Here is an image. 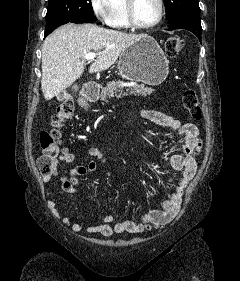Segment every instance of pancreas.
Listing matches in <instances>:
<instances>
[{
	"instance_id": "cf45deb5",
	"label": "pancreas",
	"mask_w": 240,
	"mask_h": 281,
	"mask_svg": "<svg viewBox=\"0 0 240 281\" xmlns=\"http://www.w3.org/2000/svg\"><path fill=\"white\" fill-rule=\"evenodd\" d=\"M124 83L121 81H112L107 83L105 87L102 88L100 94L101 101H107L108 98L117 97L120 98L121 96L131 95L134 94L136 96H147L153 93L152 88L145 87L144 84L141 85H134L130 88L126 89V92L123 91Z\"/></svg>"
}]
</instances>
